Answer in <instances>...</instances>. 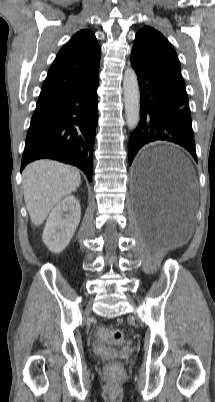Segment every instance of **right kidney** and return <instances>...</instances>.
Here are the masks:
<instances>
[{"label": "right kidney", "instance_id": "ca27d5eb", "mask_svg": "<svg viewBox=\"0 0 215 402\" xmlns=\"http://www.w3.org/2000/svg\"><path fill=\"white\" fill-rule=\"evenodd\" d=\"M81 208L74 196H67L51 211L44 228L43 242L54 253L62 252L79 225Z\"/></svg>", "mask_w": 215, "mask_h": 402}]
</instances>
